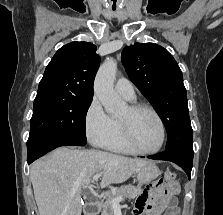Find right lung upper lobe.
I'll return each instance as SVG.
<instances>
[{"label": "right lung upper lobe", "instance_id": "cb5924a9", "mask_svg": "<svg viewBox=\"0 0 223 215\" xmlns=\"http://www.w3.org/2000/svg\"><path fill=\"white\" fill-rule=\"evenodd\" d=\"M96 49L89 42H71L61 47L45 69L37 96L92 100L94 78L100 62Z\"/></svg>", "mask_w": 223, "mask_h": 215}]
</instances>
